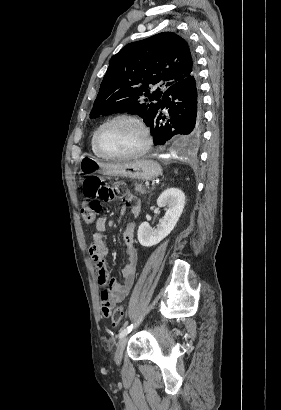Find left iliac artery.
<instances>
[{
  "label": "left iliac artery",
  "mask_w": 281,
  "mask_h": 410,
  "mask_svg": "<svg viewBox=\"0 0 281 410\" xmlns=\"http://www.w3.org/2000/svg\"><path fill=\"white\" fill-rule=\"evenodd\" d=\"M134 325H136V324H134ZM134 325L131 324L130 326H128V327L124 328L123 330H121L120 333H119V338H122L125 335H127L133 329Z\"/></svg>",
  "instance_id": "obj_1"
}]
</instances>
